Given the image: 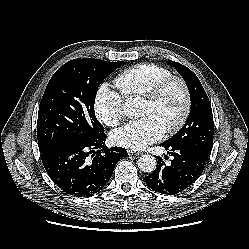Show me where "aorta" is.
I'll return each mask as SVG.
<instances>
[{"instance_id": "762f6f07", "label": "aorta", "mask_w": 249, "mask_h": 249, "mask_svg": "<svg viewBox=\"0 0 249 249\" xmlns=\"http://www.w3.org/2000/svg\"><path fill=\"white\" fill-rule=\"evenodd\" d=\"M124 110L127 115H134L137 110V104L129 100L124 105ZM156 159L150 154L141 155L138 159V168L144 173H152L156 169Z\"/></svg>"}]
</instances>
